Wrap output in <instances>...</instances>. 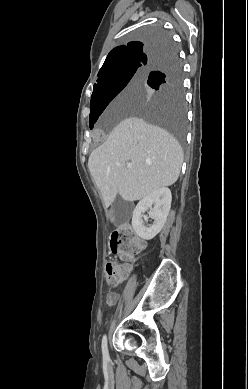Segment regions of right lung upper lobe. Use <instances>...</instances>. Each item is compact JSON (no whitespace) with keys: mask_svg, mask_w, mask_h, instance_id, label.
Wrapping results in <instances>:
<instances>
[{"mask_svg":"<svg viewBox=\"0 0 248 389\" xmlns=\"http://www.w3.org/2000/svg\"><path fill=\"white\" fill-rule=\"evenodd\" d=\"M168 43L130 42L114 48L107 56L98 76L124 67L140 65L146 68L162 56L163 46Z\"/></svg>","mask_w":248,"mask_h":389,"instance_id":"cb5924a9","label":"right lung upper lobe"}]
</instances>
